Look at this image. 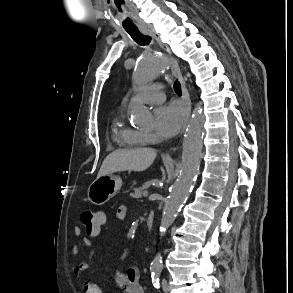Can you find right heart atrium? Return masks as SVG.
Listing matches in <instances>:
<instances>
[{
  "instance_id": "d8ad5b80",
  "label": "right heart atrium",
  "mask_w": 293,
  "mask_h": 293,
  "mask_svg": "<svg viewBox=\"0 0 293 293\" xmlns=\"http://www.w3.org/2000/svg\"><path fill=\"white\" fill-rule=\"evenodd\" d=\"M141 135L146 142L152 143L156 141V137L152 133L141 132Z\"/></svg>"
}]
</instances>
